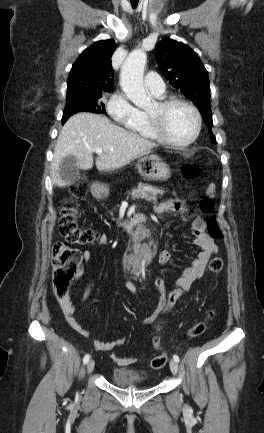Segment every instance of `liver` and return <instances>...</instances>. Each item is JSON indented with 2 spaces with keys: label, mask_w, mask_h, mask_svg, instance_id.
<instances>
[{
  "label": "liver",
  "mask_w": 264,
  "mask_h": 433,
  "mask_svg": "<svg viewBox=\"0 0 264 433\" xmlns=\"http://www.w3.org/2000/svg\"><path fill=\"white\" fill-rule=\"evenodd\" d=\"M157 145L139 135L113 124L107 117L92 113L73 115L61 129L51 163V181L59 187L67 183L59 175L62 159L75 156L79 169L93 166V152L102 148L96 159L99 171L121 168L133 159L149 154Z\"/></svg>",
  "instance_id": "liver-1"
}]
</instances>
